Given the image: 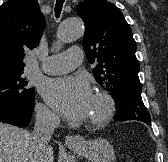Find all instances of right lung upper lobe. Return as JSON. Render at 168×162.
<instances>
[{
	"label": "right lung upper lobe",
	"instance_id": "right-lung-upper-lobe-1",
	"mask_svg": "<svg viewBox=\"0 0 168 162\" xmlns=\"http://www.w3.org/2000/svg\"><path fill=\"white\" fill-rule=\"evenodd\" d=\"M44 26L36 0H9L0 7V75L23 72L25 52L39 44Z\"/></svg>",
	"mask_w": 168,
	"mask_h": 162
}]
</instances>
